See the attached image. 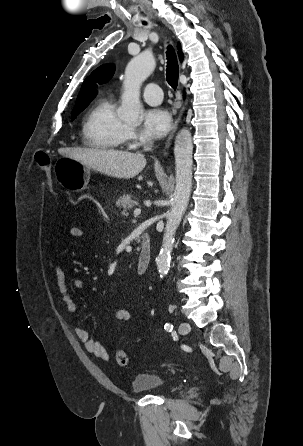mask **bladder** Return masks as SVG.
Listing matches in <instances>:
<instances>
[{"instance_id":"31cf9c89","label":"bladder","mask_w":303,"mask_h":446,"mask_svg":"<svg viewBox=\"0 0 303 446\" xmlns=\"http://www.w3.org/2000/svg\"><path fill=\"white\" fill-rule=\"evenodd\" d=\"M165 385V380L153 373H141L132 380V390L135 393H148L159 390Z\"/></svg>"}]
</instances>
